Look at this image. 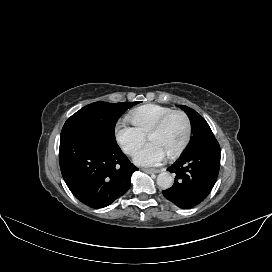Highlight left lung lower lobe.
<instances>
[{"instance_id":"0a47b994","label":"left lung lower lobe","mask_w":272,"mask_h":272,"mask_svg":"<svg viewBox=\"0 0 272 272\" xmlns=\"http://www.w3.org/2000/svg\"><path fill=\"white\" fill-rule=\"evenodd\" d=\"M220 168V146L216 139L187 150L168 168L175 173L173 186L163 191L166 199L183 209L201 203L213 188Z\"/></svg>"}]
</instances>
